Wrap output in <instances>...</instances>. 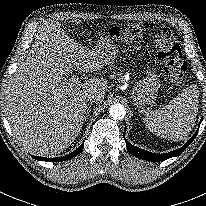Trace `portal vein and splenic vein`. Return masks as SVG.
Returning <instances> with one entry per match:
<instances>
[{"instance_id":"18ae733b","label":"portal vein and splenic vein","mask_w":206,"mask_h":206,"mask_svg":"<svg viewBox=\"0 0 206 206\" xmlns=\"http://www.w3.org/2000/svg\"><path fill=\"white\" fill-rule=\"evenodd\" d=\"M80 82V79L77 75L71 76L69 79L66 80L67 84H78Z\"/></svg>"}]
</instances>
